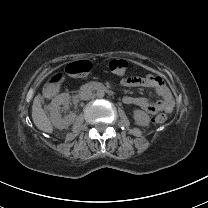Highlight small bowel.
I'll use <instances>...</instances> for the list:
<instances>
[{
    "instance_id": "1",
    "label": "small bowel",
    "mask_w": 208,
    "mask_h": 208,
    "mask_svg": "<svg viewBox=\"0 0 208 208\" xmlns=\"http://www.w3.org/2000/svg\"><path fill=\"white\" fill-rule=\"evenodd\" d=\"M122 84L128 87H146L154 89L161 98L160 101L151 102L145 98L127 96L124 99L126 104L139 107L151 114L160 112L170 113L173 110V96L161 77L151 75L145 77L129 76L122 80Z\"/></svg>"
}]
</instances>
